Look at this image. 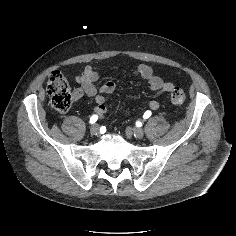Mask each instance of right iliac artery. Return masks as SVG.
<instances>
[{
    "label": "right iliac artery",
    "mask_w": 236,
    "mask_h": 236,
    "mask_svg": "<svg viewBox=\"0 0 236 236\" xmlns=\"http://www.w3.org/2000/svg\"><path fill=\"white\" fill-rule=\"evenodd\" d=\"M98 116L96 114L92 115V117L90 118V124H93L97 121Z\"/></svg>",
    "instance_id": "82829eb1"
}]
</instances>
